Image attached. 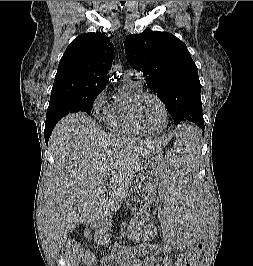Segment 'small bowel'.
I'll list each match as a JSON object with an SVG mask.
<instances>
[{"label": "small bowel", "mask_w": 253, "mask_h": 266, "mask_svg": "<svg viewBox=\"0 0 253 266\" xmlns=\"http://www.w3.org/2000/svg\"><path fill=\"white\" fill-rule=\"evenodd\" d=\"M153 252L155 253H163L165 250L161 247H154L152 248ZM138 253L135 251H122L119 254L118 261L116 264L120 266H140L138 261ZM111 258H105L98 263L97 266H102L106 264H111ZM113 264V263H112ZM144 266H174L173 261L171 258H165L161 263H158L154 258H148L143 262Z\"/></svg>", "instance_id": "small-bowel-1"}]
</instances>
